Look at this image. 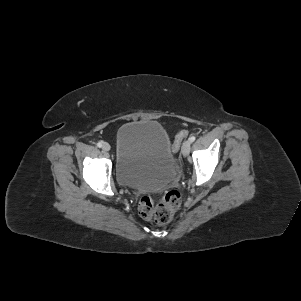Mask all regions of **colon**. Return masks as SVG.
<instances>
[{
    "mask_svg": "<svg viewBox=\"0 0 301 301\" xmlns=\"http://www.w3.org/2000/svg\"><path fill=\"white\" fill-rule=\"evenodd\" d=\"M188 134L187 130H182L175 136L172 144L173 153H176L180 149L182 142L186 139ZM180 204L181 193L178 190L173 189L166 192L157 204H154L150 196H143L140 199L138 210L142 218L163 225L172 220Z\"/></svg>",
    "mask_w": 301,
    "mask_h": 301,
    "instance_id": "1",
    "label": "colon"
}]
</instances>
